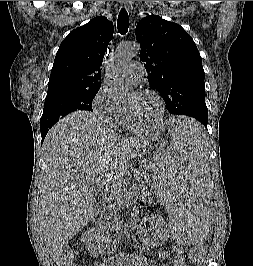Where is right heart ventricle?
<instances>
[{"label": "right heart ventricle", "mask_w": 253, "mask_h": 266, "mask_svg": "<svg viewBox=\"0 0 253 266\" xmlns=\"http://www.w3.org/2000/svg\"><path fill=\"white\" fill-rule=\"evenodd\" d=\"M119 126H128L126 118H124L120 123Z\"/></svg>", "instance_id": "right-heart-ventricle-1"}]
</instances>
